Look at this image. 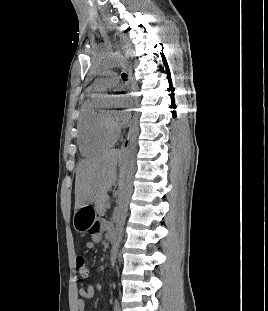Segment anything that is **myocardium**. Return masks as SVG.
Wrapping results in <instances>:
<instances>
[{"mask_svg": "<svg viewBox=\"0 0 268 311\" xmlns=\"http://www.w3.org/2000/svg\"><path fill=\"white\" fill-rule=\"evenodd\" d=\"M103 116H104V120H105L107 129H108L111 133L117 135V133H118V128H117V126H116V124H115V122H114L112 116H111V115H108V114H105V115H103Z\"/></svg>", "mask_w": 268, "mask_h": 311, "instance_id": "1", "label": "myocardium"}]
</instances>
